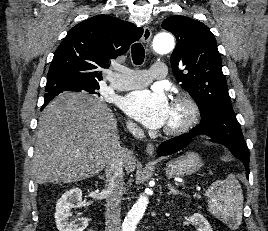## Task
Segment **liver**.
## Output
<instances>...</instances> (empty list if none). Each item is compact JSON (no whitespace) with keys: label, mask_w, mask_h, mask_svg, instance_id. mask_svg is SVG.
<instances>
[{"label":"liver","mask_w":268,"mask_h":231,"mask_svg":"<svg viewBox=\"0 0 268 231\" xmlns=\"http://www.w3.org/2000/svg\"><path fill=\"white\" fill-rule=\"evenodd\" d=\"M36 137L32 163L38 184L91 178L123 149L113 112L87 93H62L51 101L40 115ZM125 169L132 172L135 160L125 162Z\"/></svg>","instance_id":"1"}]
</instances>
